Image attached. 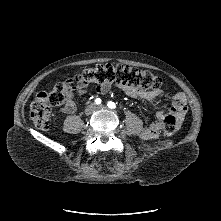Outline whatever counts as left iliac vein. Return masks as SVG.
Segmentation results:
<instances>
[{
	"label": "left iliac vein",
	"instance_id": "obj_1",
	"mask_svg": "<svg viewBox=\"0 0 221 221\" xmlns=\"http://www.w3.org/2000/svg\"><path fill=\"white\" fill-rule=\"evenodd\" d=\"M100 109H105V106L100 105V106H97V107H96V110H100Z\"/></svg>",
	"mask_w": 221,
	"mask_h": 221
}]
</instances>
